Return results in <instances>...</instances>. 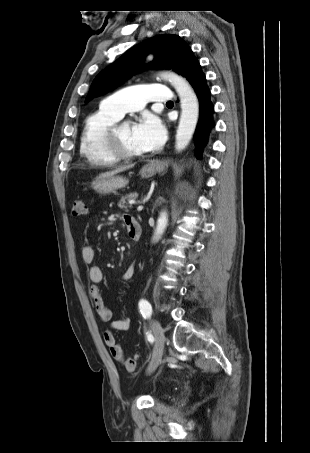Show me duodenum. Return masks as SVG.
<instances>
[{"mask_svg": "<svg viewBox=\"0 0 310 453\" xmlns=\"http://www.w3.org/2000/svg\"><path fill=\"white\" fill-rule=\"evenodd\" d=\"M137 221V220H136ZM128 235L131 240L137 241L140 238L141 226L139 222H133L127 227Z\"/></svg>", "mask_w": 310, "mask_h": 453, "instance_id": "1", "label": "duodenum"}]
</instances>
